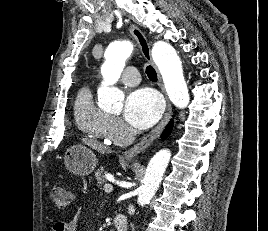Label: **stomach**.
<instances>
[{
  "instance_id": "1",
  "label": "stomach",
  "mask_w": 268,
  "mask_h": 231,
  "mask_svg": "<svg viewBox=\"0 0 268 231\" xmlns=\"http://www.w3.org/2000/svg\"><path fill=\"white\" fill-rule=\"evenodd\" d=\"M64 162L74 175L87 176L96 168L97 158L89 148L79 144L67 149Z\"/></svg>"
}]
</instances>
